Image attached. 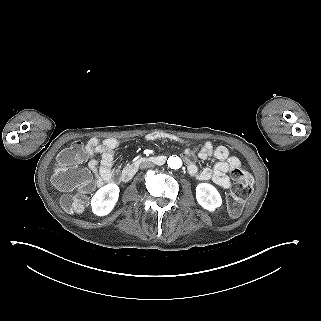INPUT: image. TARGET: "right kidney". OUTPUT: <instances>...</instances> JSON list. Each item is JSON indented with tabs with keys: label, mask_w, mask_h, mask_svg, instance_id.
Listing matches in <instances>:
<instances>
[{
	"label": "right kidney",
	"mask_w": 321,
	"mask_h": 321,
	"mask_svg": "<svg viewBox=\"0 0 321 321\" xmlns=\"http://www.w3.org/2000/svg\"><path fill=\"white\" fill-rule=\"evenodd\" d=\"M119 193L120 188L114 183L99 188L90 201L93 214L99 217L110 214L116 206Z\"/></svg>",
	"instance_id": "ca27d5eb"
}]
</instances>
